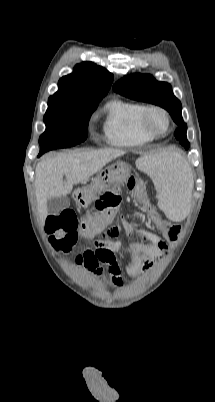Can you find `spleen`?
<instances>
[{"instance_id": "1", "label": "spleen", "mask_w": 215, "mask_h": 402, "mask_svg": "<svg viewBox=\"0 0 215 402\" xmlns=\"http://www.w3.org/2000/svg\"><path fill=\"white\" fill-rule=\"evenodd\" d=\"M162 192L156 209L163 210L172 220H184L191 212L187 197L194 191L189 178H196V169H190L178 152H163L137 161Z\"/></svg>"}]
</instances>
